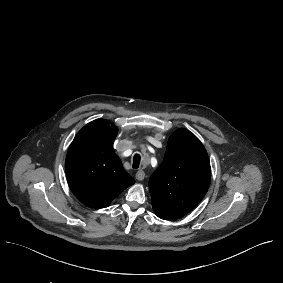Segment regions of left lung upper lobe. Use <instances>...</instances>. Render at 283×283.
Returning a JSON list of instances; mask_svg holds the SVG:
<instances>
[{
	"label": "left lung upper lobe",
	"mask_w": 283,
	"mask_h": 283,
	"mask_svg": "<svg viewBox=\"0 0 283 283\" xmlns=\"http://www.w3.org/2000/svg\"><path fill=\"white\" fill-rule=\"evenodd\" d=\"M210 180L203 144L190 131L176 130L168 140L162 164L149 180L154 211L189 213L206 194Z\"/></svg>",
	"instance_id": "obj_1"
}]
</instances>
